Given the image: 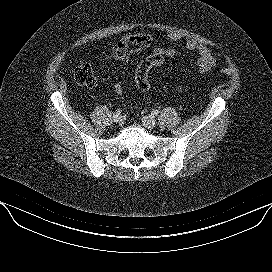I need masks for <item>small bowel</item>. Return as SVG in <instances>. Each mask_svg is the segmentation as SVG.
<instances>
[{
  "label": "small bowel",
  "mask_w": 272,
  "mask_h": 272,
  "mask_svg": "<svg viewBox=\"0 0 272 272\" xmlns=\"http://www.w3.org/2000/svg\"><path fill=\"white\" fill-rule=\"evenodd\" d=\"M132 38L133 36H126L122 38L115 44L114 49L128 50L132 45ZM167 40L170 46H155L152 50L153 54L162 55L168 58L174 57L177 53V48L174 45L180 40V36L177 34H171L168 36ZM180 46L189 51H195L197 53V66L201 73H206L216 66L217 60L206 45L193 39H185L180 43Z\"/></svg>",
  "instance_id": "c3829d8e"
}]
</instances>
